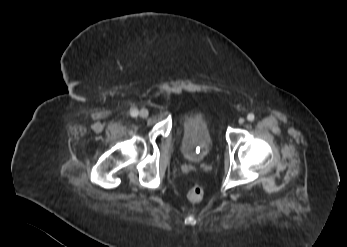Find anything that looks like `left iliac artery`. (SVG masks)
Instances as JSON below:
<instances>
[{
	"label": "left iliac artery",
	"instance_id": "obj_1",
	"mask_svg": "<svg viewBox=\"0 0 347 247\" xmlns=\"http://www.w3.org/2000/svg\"><path fill=\"white\" fill-rule=\"evenodd\" d=\"M254 118H255V116H254V114H252V113H249V114L247 115V120H248V121H253Z\"/></svg>",
	"mask_w": 347,
	"mask_h": 247
}]
</instances>
